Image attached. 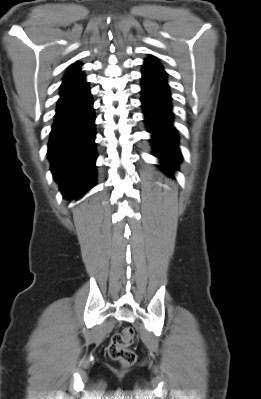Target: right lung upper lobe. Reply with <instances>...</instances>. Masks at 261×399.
Returning a JSON list of instances; mask_svg holds the SVG:
<instances>
[{"instance_id": "1", "label": "right lung upper lobe", "mask_w": 261, "mask_h": 399, "mask_svg": "<svg viewBox=\"0 0 261 399\" xmlns=\"http://www.w3.org/2000/svg\"><path fill=\"white\" fill-rule=\"evenodd\" d=\"M81 67V64H77L76 66L72 67L64 76L63 82L71 81L74 80L78 77L83 76V72H81L79 69Z\"/></svg>"}]
</instances>
